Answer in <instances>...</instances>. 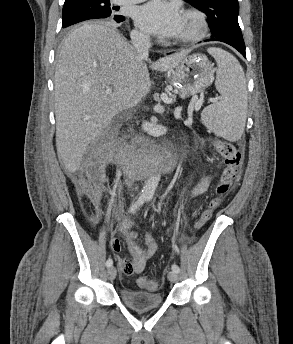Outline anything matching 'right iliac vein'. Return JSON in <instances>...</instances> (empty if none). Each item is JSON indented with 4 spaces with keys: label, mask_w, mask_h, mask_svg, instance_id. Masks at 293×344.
Returning a JSON list of instances; mask_svg holds the SVG:
<instances>
[{
    "label": "right iliac vein",
    "mask_w": 293,
    "mask_h": 344,
    "mask_svg": "<svg viewBox=\"0 0 293 344\" xmlns=\"http://www.w3.org/2000/svg\"><path fill=\"white\" fill-rule=\"evenodd\" d=\"M107 275L109 280H114L116 277V268L113 266L109 267L107 270Z\"/></svg>",
    "instance_id": "1"
}]
</instances>
